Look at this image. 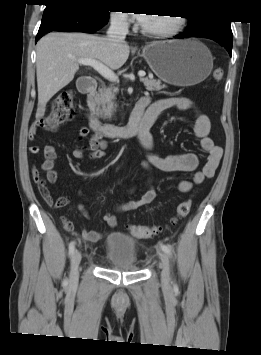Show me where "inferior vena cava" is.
Wrapping results in <instances>:
<instances>
[{"label":"inferior vena cava","instance_id":"obj_1","mask_svg":"<svg viewBox=\"0 0 261 355\" xmlns=\"http://www.w3.org/2000/svg\"><path fill=\"white\" fill-rule=\"evenodd\" d=\"M127 34L128 23L126 19L119 15H112L110 27L107 31V39L113 45H119L125 43V38Z\"/></svg>","mask_w":261,"mask_h":355}]
</instances>
